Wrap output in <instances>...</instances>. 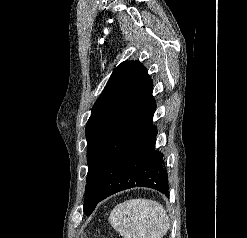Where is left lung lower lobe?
Here are the masks:
<instances>
[{"label": "left lung lower lobe", "instance_id": "left-lung-lower-lobe-1", "mask_svg": "<svg viewBox=\"0 0 247 238\" xmlns=\"http://www.w3.org/2000/svg\"><path fill=\"white\" fill-rule=\"evenodd\" d=\"M156 102L147 117L108 166L99 185L97 203L133 187H149L168 196L163 154L155 151L157 129L153 126Z\"/></svg>", "mask_w": 247, "mask_h": 238}]
</instances>
